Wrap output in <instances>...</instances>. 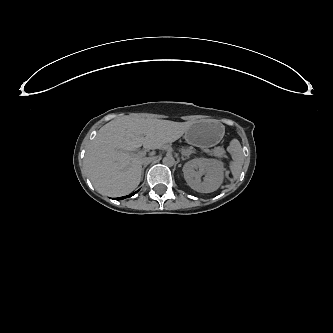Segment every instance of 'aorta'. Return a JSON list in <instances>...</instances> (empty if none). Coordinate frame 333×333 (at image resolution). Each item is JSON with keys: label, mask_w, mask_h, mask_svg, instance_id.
Wrapping results in <instances>:
<instances>
[{"label": "aorta", "mask_w": 333, "mask_h": 333, "mask_svg": "<svg viewBox=\"0 0 333 333\" xmlns=\"http://www.w3.org/2000/svg\"><path fill=\"white\" fill-rule=\"evenodd\" d=\"M162 162L165 166H168V167H172L176 163L175 158L173 157L172 154H167L163 158Z\"/></svg>", "instance_id": "aorta-1"}]
</instances>
